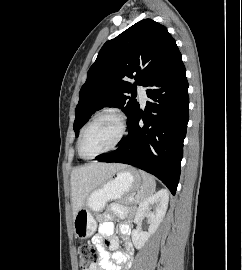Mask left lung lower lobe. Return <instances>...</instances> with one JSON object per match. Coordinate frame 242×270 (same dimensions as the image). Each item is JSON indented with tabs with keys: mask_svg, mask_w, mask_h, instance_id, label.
I'll return each instance as SVG.
<instances>
[{
	"mask_svg": "<svg viewBox=\"0 0 242 270\" xmlns=\"http://www.w3.org/2000/svg\"><path fill=\"white\" fill-rule=\"evenodd\" d=\"M147 87L150 100L146 103V115L138 110L120 147L96 159L129 164L151 173L175 195L189 120L188 82L181 55L165 66ZM141 118L143 126L139 125Z\"/></svg>",
	"mask_w": 242,
	"mask_h": 270,
	"instance_id": "1",
	"label": "left lung lower lobe"
}]
</instances>
